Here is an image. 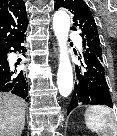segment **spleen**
I'll list each match as a JSON object with an SVG mask.
<instances>
[{"label": "spleen", "instance_id": "1", "mask_svg": "<svg viewBox=\"0 0 117 136\" xmlns=\"http://www.w3.org/2000/svg\"><path fill=\"white\" fill-rule=\"evenodd\" d=\"M86 126L102 136H117V117L102 105L90 106L85 111Z\"/></svg>", "mask_w": 117, "mask_h": 136}]
</instances>
